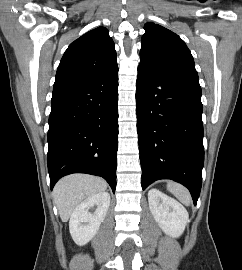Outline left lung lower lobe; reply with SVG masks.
Listing matches in <instances>:
<instances>
[{
  "instance_id": "0a47b994",
  "label": "left lung lower lobe",
  "mask_w": 242,
  "mask_h": 270,
  "mask_svg": "<svg viewBox=\"0 0 242 270\" xmlns=\"http://www.w3.org/2000/svg\"><path fill=\"white\" fill-rule=\"evenodd\" d=\"M136 103L143 190L171 179L196 205L204 164L200 85L139 64Z\"/></svg>"
}]
</instances>
